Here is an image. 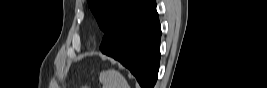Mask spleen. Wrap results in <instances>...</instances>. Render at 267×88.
<instances>
[{
	"mask_svg": "<svg viewBox=\"0 0 267 88\" xmlns=\"http://www.w3.org/2000/svg\"><path fill=\"white\" fill-rule=\"evenodd\" d=\"M100 81L103 83V88H130L125 77L114 69L100 73Z\"/></svg>",
	"mask_w": 267,
	"mask_h": 88,
	"instance_id": "1",
	"label": "spleen"
}]
</instances>
